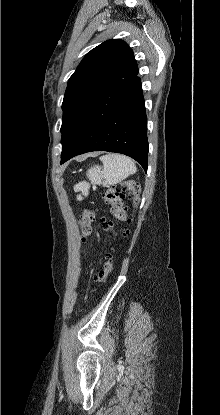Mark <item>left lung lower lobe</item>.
Masks as SVG:
<instances>
[{
  "instance_id": "1",
  "label": "left lung lower lobe",
  "mask_w": 220,
  "mask_h": 415,
  "mask_svg": "<svg viewBox=\"0 0 220 415\" xmlns=\"http://www.w3.org/2000/svg\"><path fill=\"white\" fill-rule=\"evenodd\" d=\"M90 151L121 153L148 167L147 116L140 78L113 81L85 115L61 163Z\"/></svg>"
}]
</instances>
